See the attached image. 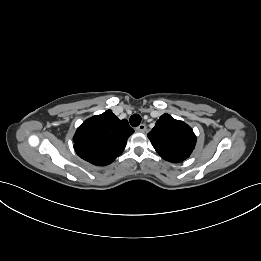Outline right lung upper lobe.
<instances>
[{"instance_id": "1", "label": "right lung upper lobe", "mask_w": 261, "mask_h": 261, "mask_svg": "<svg viewBox=\"0 0 261 261\" xmlns=\"http://www.w3.org/2000/svg\"><path fill=\"white\" fill-rule=\"evenodd\" d=\"M134 130L127 120H119L111 110L87 119L77 129L74 149L85 161L105 166L123 152L126 141Z\"/></svg>"}]
</instances>
